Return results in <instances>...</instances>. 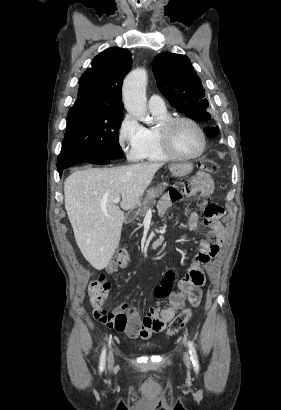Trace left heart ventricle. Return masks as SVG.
Here are the masks:
<instances>
[{
  "label": "left heart ventricle",
  "instance_id": "obj_1",
  "mask_svg": "<svg viewBox=\"0 0 281 410\" xmlns=\"http://www.w3.org/2000/svg\"><path fill=\"white\" fill-rule=\"evenodd\" d=\"M171 141L174 148L183 155L196 154L202 146L199 132L186 122H179L173 127Z\"/></svg>",
  "mask_w": 281,
  "mask_h": 410
}]
</instances>
